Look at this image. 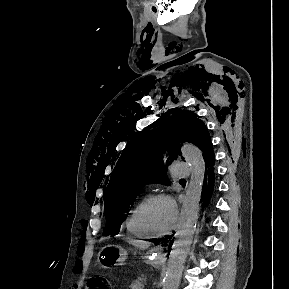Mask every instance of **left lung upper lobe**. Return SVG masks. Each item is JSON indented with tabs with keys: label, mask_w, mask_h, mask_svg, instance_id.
<instances>
[{
	"label": "left lung upper lobe",
	"mask_w": 289,
	"mask_h": 289,
	"mask_svg": "<svg viewBox=\"0 0 289 289\" xmlns=\"http://www.w3.org/2000/svg\"><path fill=\"white\" fill-rule=\"evenodd\" d=\"M168 114L169 120L165 118L163 124H153L151 129L137 134L122 152L104 189L106 226L103 235L119 233L142 186L168 183L165 170L180 154V143L197 145L204 159L213 150L209 132L195 113L176 108Z\"/></svg>",
	"instance_id": "obj_1"
}]
</instances>
